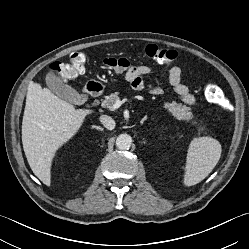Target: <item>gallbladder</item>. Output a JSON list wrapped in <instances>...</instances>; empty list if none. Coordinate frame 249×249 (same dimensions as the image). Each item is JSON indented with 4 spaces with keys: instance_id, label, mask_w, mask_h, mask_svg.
I'll list each match as a JSON object with an SVG mask.
<instances>
[{
    "instance_id": "obj_1",
    "label": "gallbladder",
    "mask_w": 249,
    "mask_h": 249,
    "mask_svg": "<svg viewBox=\"0 0 249 249\" xmlns=\"http://www.w3.org/2000/svg\"><path fill=\"white\" fill-rule=\"evenodd\" d=\"M45 82L48 88L58 97L76 105L84 102L83 97L73 87L65 84L54 71H48Z\"/></svg>"
}]
</instances>
